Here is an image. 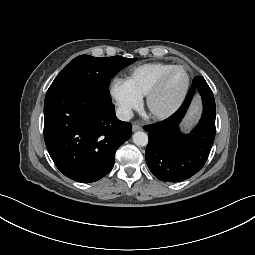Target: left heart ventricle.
<instances>
[{"label":"left heart ventricle","mask_w":255,"mask_h":255,"mask_svg":"<svg viewBox=\"0 0 255 255\" xmlns=\"http://www.w3.org/2000/svg\"><path fill=\"white\" fill-rule=\"evenodd\" d=\"M186 80L184 70L177 69L173 71L160 93L153 100V108L157 111H165L170 108L181 94Z\"/></svg>","instance_id":"obj_1"}]
</instances>
